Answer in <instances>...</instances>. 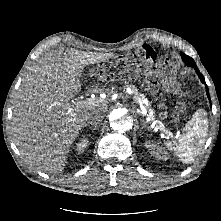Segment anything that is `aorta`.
Returning a JSON list of instances; mask_svg holds the SVG:
<instances>
[{
	"instance_id": "762f6f07",
	"label": "aorta",
	"mask_w": 221,
	"mask_h": 221,
	"mask_svg": "<svg viewBox=\"0 0 221 221\" xmlns=\"http://www.w3.org/2000/svg\"><path fill=\"white\" fill-rule=\"evenodd\" d=\"M111 129L117 133H124L132 129L133 117L124 109H116L110 114Z\"/></svg>"
}]
</instances>
